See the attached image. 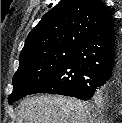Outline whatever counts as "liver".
<instances>
[{
	"mask_svg": "<svg viewBox=\"0 0 122 123\" xmlns=\"http://www.w3.org/2000/svg\"><path fill=\"white\" fill-rule=\"evenodd\" d=\"M103 114L89 102L72 97H27L17 111V123H103Z\"/></svg>",
	"mask_w": 122,
	"mask_h": 123,
	"instance_id": "1",
	"label": "liver"
}]
</instances>
